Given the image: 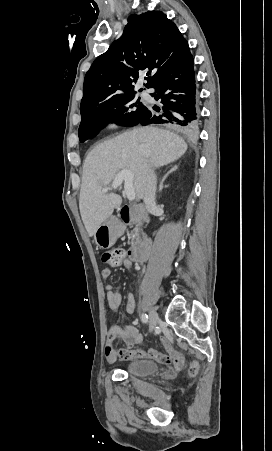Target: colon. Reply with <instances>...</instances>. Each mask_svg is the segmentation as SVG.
I'll return each instance as SVG.
<instances>
[{
    "mask_svg": "<svg viewBox=\"0 0 272 451\" xmlns=\"http://www.w3.org/2000/svg\"><path fill=\"white\" fill-rule=\"evenodd\" d=\"M124 258V251L120 248L114 249L109 252H104L103 255L99 254L97 259L99 261L105 260L110 263L111 268H120L121 261ZM160 360L166 367H177L182 364L180 358H169L166 354H162ZM195 371V368L192 369V373Z\"/></svg>",
    "mask_w": 272,
    "mask_h": 451,
    "instance_id": "1",
    "label": "colon"
}]
</instances>
